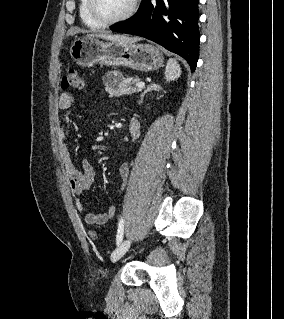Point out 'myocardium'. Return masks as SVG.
<instances>
[{
    "mask_svg": "<svg viewBox=\"0 0 284 319\" xmlns=\"http://www.w3.org/2000/svg\"><path fill=\"white\" fill-rule=\"evenodd\" d=\"M139 0H131L128 9L121 15L115 18H106L98 10L97 0H88V9L91 16L104 26L114 25L129 19L136 11Z\"/></svg>",
    "mask_w": 284,
    "mask_h": 319,
    "instance_id": "f54148a6",
    "label": "myocardium"
}]
</instances>
